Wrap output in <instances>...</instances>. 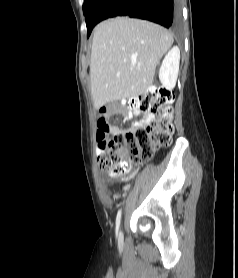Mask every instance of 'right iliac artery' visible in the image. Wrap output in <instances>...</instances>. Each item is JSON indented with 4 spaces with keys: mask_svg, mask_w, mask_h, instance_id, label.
Instances as JSON below:
<instances>
[{
    "mask_svg": "<svg viewBox=\"0 0 238 278\" xmlns=\"http://www.w3.org/2000/svg\"><path fill=\"white\" fill-rule=\"evenodd\" d=\"M120 220H121V209L117 213L116 217V232L118 233L119 227H120Z\"/></svg>",
    "mask_w": 238,
    "mask_h": 278,
    "instance_id": "1",
    "label": "right iliac artery"
}]
</instances>
